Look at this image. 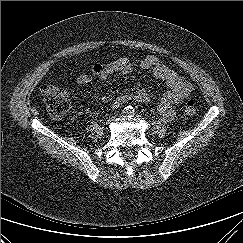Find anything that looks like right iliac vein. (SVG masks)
I'll return each instance as SVG.
<instances>
[{
    "label": "right iliac vein",
    "mask_w": 243,
    "mask_h": 243,
    "mask_svg": "<svg viewBox=\"0 0 243 243\" xmlns=\"http://www.w3.org/2000/svg\"><path fill=\"white\" fill-rule=\"evenodd\" d=\"M115 121V119L111 118L107 121V124H112Z\"/></svg>",
    "instance_id": "obj_1"
}]
</instances>
